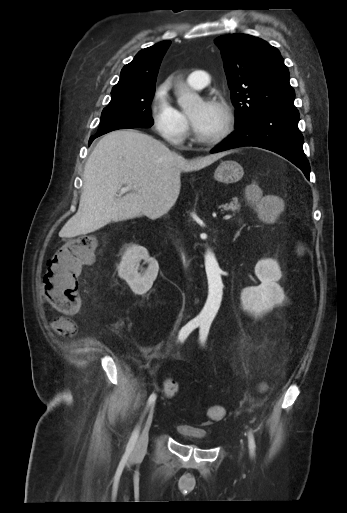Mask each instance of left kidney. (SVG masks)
Here are the masks:
<instances>
[{
    "instance_id": "1",
    "label": "left kidney",
    "mask_w": 347,
    "mask_h": 513,
    "mask_svg": "<svg viewBox=\"0 0 347 513\" xmlns=\"http://www.w3.org/2000/svg\"><path fill=\"white\" fill-rule=\"evenodd\" d=\"M255 274L261 284L243 289L241 304L248 313L255 317H262L284 300V291L277 283L282 274L277 261L273 259L258 261L255 266Z\"/></svg>"
}]
</instances>
